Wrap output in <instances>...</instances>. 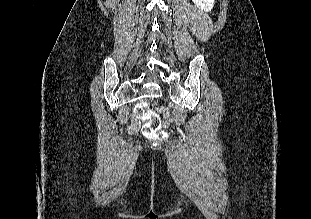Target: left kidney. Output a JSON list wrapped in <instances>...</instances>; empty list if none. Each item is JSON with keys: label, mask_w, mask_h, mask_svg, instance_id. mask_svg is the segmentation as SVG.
Returning <instances> with one entry per match:
<instances>
[{"label": "left kidney", "mask_w": 311, "mask_h": 219, "mask_svg": "<svg viewBox=\"0 0 311 219\" xmlns=\"http://www.w3.org/2000/svg\"><path fill=\"white\" fill-rule=\"evenodd\" d=\"M201 10L209 12L213 9L215 0H192Z\"/></svg>", "instance_id": "left-kidney-1"}]
</instances>
